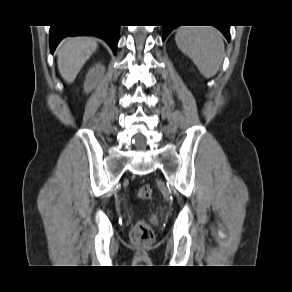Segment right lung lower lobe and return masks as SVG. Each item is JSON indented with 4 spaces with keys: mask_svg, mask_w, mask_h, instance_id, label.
<instances>
[{
    "mask_svg": "<svg viewBox=\"0 0 292 292\" xmlns=\"http://www.w3.org/2000/svg\"><path fill=\"white\" fill-rule=\"evenodd\" d=\"M120 26L101 25H75V26H51L50 49L54 52L57 44L66 36L87 35L96 36L105 40L114 54L117 50V42Z\"/></svg>",
    "mask_w": 292,
    "mask_h": 292,
    "instance_id": "obj_1",
    "label": "right lung lower lobe"
}]
</instances>
